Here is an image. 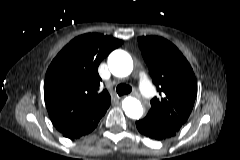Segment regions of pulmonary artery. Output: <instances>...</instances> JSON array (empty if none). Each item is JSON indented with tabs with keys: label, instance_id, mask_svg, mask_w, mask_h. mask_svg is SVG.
I'll use <instances>...</instances> for the list:
<instances>
[{
	"label": "pulmonary artery",
	"instance_id": "pulmonary-artery-1",
	"mask_svg": "<svg viewBox=\"0 0 240 160\" xmlns=\"http://www.w3.org/2000/svg\"><path fill=\"white\" fill-rule=\"evenodd\" d=\"M139 85L142 93L147 97L151 98L154 95V89L146 73H140L138 76Z\"/></svg>",
	"mask_w": 240,
	"mask_h": 160
}]
</instances>
